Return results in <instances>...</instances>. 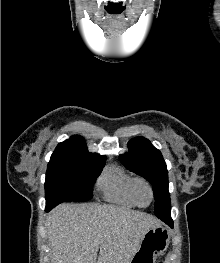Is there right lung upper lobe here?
Wrapping results in <instances>:
<instances>
[{
	"label": "right lung upper lobe",
	"mask_w": 220,
	"mask_h": 263,
	"mask_svg": "<svg viewBox=\"0 0 220 263\" xmlns=\"http://www.w3.org/2000/svg\"><path fill=\"white\" fill-rule=\"evenodd\" d=\"M54 152L88 153L85 141L80 136H73L67 141L58 144ZM98 155V154H94ZM99 156V155H98Z\"/></svg>",
	"instance_id": "cb5924a9"
}]
</instances>
